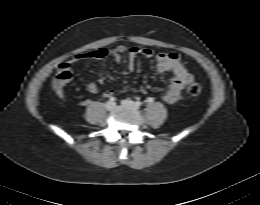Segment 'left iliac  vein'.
Here are the masks:
<instances>
[{
	"mask_svg": "<svg viewBox=\"0 0 260 205\" xmlns=\"http://www.w3.org/2000/svg\"><path fill=\"white\" fill-rule=\"evenodd\" d=\"M122 104H123V105H126V106H131V107H133V108H135V109L138 108V106L136 105V103L133 102L132 100H129V99L123 100V101H122Z\"/></svg>",
	"mask_w": 260,
	"mask_h": 205,
	"instance_id": "obj_1",
	"label": "left iliac vein"
}]
</instances>
